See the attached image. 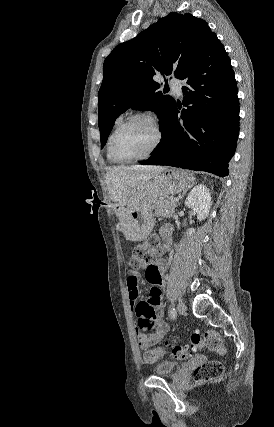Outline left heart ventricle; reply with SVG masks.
Masks as SVG:
<instances>
[{
  "label": "left heart ventricle",
  "mask_w": 274,
  "mask_h": 427,
  "mask_svg": "<svg viewBox=\"0 0 274 427\" xmlns=\"http://www.w3.org/2000/svg\"><path fill=\"white\" fill-rule=\"evenodd\" d=\"M157 139L153 125L138 119L122 127L114 137V148L124 158H133L146 154Z\"/></svg>",
  "instance_id": "b2bd125f"
}]
</instances>
